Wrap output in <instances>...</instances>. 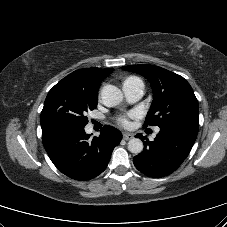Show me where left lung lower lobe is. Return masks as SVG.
<instances>
[{
  "label": "left lung lower lobe",
  "mask_w": 227,
  "mask_h": 227,
  "mask_svg": "<svg viewBox=\"0 0 227 227\" xmlns=\"http://www.w3.org/2000/svg\"><path fill=\"white\" fill-rule=\"evenodd\" d=\"M198 128L188 125L160 127L154 141L137 134L144 141V151L133 158L135 167L147 176L160 178L174 172L189 155Z\"/></svg>",
  "instance_id": "obj_1"
}]
</instances>
